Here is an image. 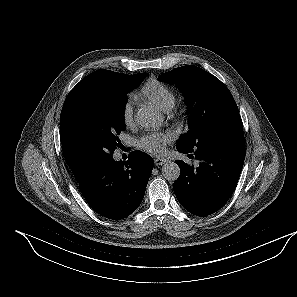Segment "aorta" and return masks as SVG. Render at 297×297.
<instances>
[{"label":"aorta","instance_id":"1","mask_svg":"<svg viewBox=\"0 0 297 297\" xmlns=\"http://www.w3.org/2000/svg\"><path fill=\"white\" fill-rule=\"evenodd\" d=\"M135 120L145 128L155 127L161 123L159 113L150 106L141 107L135 115ZM162 175L168 181H175L180 176V168L175 162H167L162 167Z\"/></svg>","mask_w":297,"mask_h":297}]
</instances>
